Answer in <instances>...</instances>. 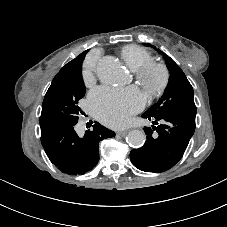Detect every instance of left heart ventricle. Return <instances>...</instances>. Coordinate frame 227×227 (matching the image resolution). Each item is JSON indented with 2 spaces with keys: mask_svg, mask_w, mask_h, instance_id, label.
<instances>
[{
  "mask_svg": "<svg viewBox=\"0 0 227 227\" xmlns=\"http://www.w3.org/2000/svg\"><path fill=\"white\" fill-rule=\"evenodd\" d=\"M157 79H158V75H154L153 78H152V82H155ZM144 87H145L146 91L150 93L151 84L144 85Z\"/></svg>",
  "mask_w": 227,
  "mask_h": 227,
  "instance_id": "left-heart-ventricle-1",
  "label": "left heart ventricle"
}]
</instances>
